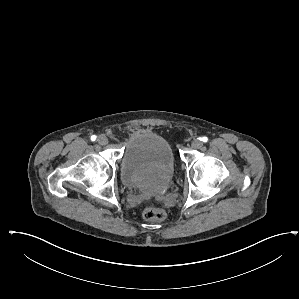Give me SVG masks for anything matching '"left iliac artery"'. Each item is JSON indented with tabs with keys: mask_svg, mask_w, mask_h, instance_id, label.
Returning a JSON list of instances; mask_svg holds the SVG:
<instances>
[{
	"mask_svg": "<svg viewBox=\"0 0 299 299\" xmlns=\"http://www.w3.org/2000/svg\"><path fill=\"white\" fill-rule=\"evenodd\" d=\"M201 141H203V142H207V141H208V138H207L206 136H204V137L201 138Z\"/></svg>",
	"mask_w": 299,
	"mask_h": 299,
	"instance_id": "obj_1",
	"label": "left iliac artery"
}]
</instances>
